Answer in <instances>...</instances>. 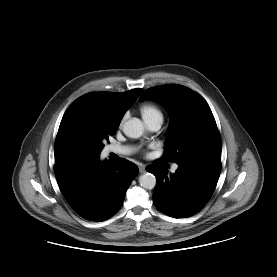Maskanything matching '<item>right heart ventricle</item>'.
Masks as SVG:
<instances>
[{"instance_id":"1","label":"right heart ventricle","mask_w":277,"mask_h":277,"mask_svg":"<svg viewBox=\"0 0 277 277\" xmlns=\"http://www.w3.org/2000/svg\"><path fill=\"white\" fill-rule=\"evenodd\" d=\"M140 113L146 123L157 119L163 120L161 109L153 103H145L141 105Z\"/></svg>"}]
</instances>
